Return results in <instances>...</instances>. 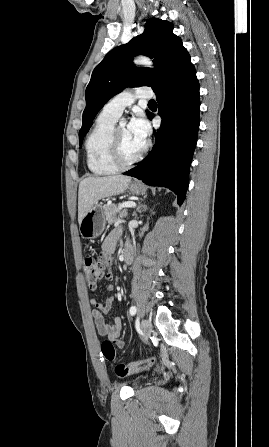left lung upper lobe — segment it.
Instances as JSON below:
<instances>
[{
	"label": "left lung upper lobe",
	"mask_w": 269,
	"mask_h": 447,
	"mask_svg": "<svg viewBox=\"0 0 269 447\" xmlns=\"http://www.w3.org/2000/svg\"><path fill=\"white\" fill-rule=\"evenodd\" d=\"M172 31V23L152 18L145 24L143 34L111 50L96 66L86 88V107L79 131V145L96 114L112 96L127 86H150L155 92L167 82L186 50L181 38ZM138 53L153 58L156 68L132 65L131 61Z\"/></svg>",
	"instance_id": "5c2ea615"
}]
</instances>
